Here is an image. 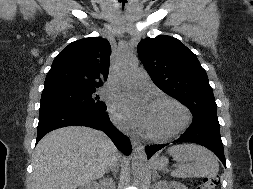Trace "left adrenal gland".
Segmentation results:
<instances>
[{
    "label": "left adrenal gland",
    "mask_w": 253,
    "mask_h": 189,
    "mask_svg": "<svg viewBox=\"0 0 253 189\" xmlns=\"http://www.w3.org/2000/svg\"><path fill=\"white\" fill-rule=\"evenodd\" d=\"M156 177H159V175H158V173L155 171V172H154V178H156Z\"/></svg>",
    "instance_id": "left-adrenal-gland-1"
}]
</instances>
